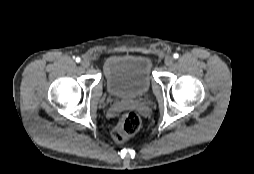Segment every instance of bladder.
I'll return each instance as SVG.
<instances>
[{"instance_id":"1","label":"bladder","mask_w":254,"mask_h":174,"mask_svg":"<svg viewBox=\"0 0 254 174\" xmlns=\"http://www.w3.org/2000/svg\"><path fill=\"white\" fill-rule=\"evenodd\" d=\"M109 94L117 99L139 98L151 88V61L144 55L118 56L105 65Z\"/></svg>"}]
</instances>
